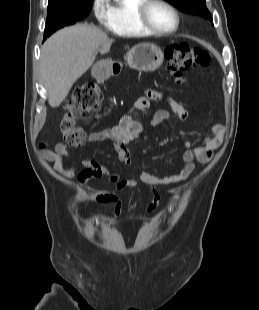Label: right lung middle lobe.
I'll list each match as a JSON object with an SVG mask.
<instances>
[{"label": "right lung middle lobe", "instance_id": "dd1d6c3e", "mask_svg": "<svg viewBox=\"0 0 259 310\" xmlns=\"http://www.w3.org/2000/svg\"><path fill=\"white\" fill-rule=\"evenodd\" d=\"M90 1L48 6L44 40L58 29L72 25L78 20L84 19L91 10Z\"/></svg>", "mask_w": 259, "mask_h": 310}]
</instances>
